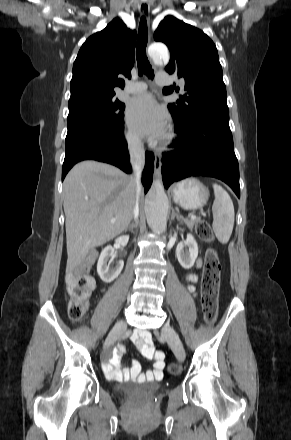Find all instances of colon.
<instances>
[{
    "instance_id": "1",
    "label": "colon",
    "mask_w": 291,
    "mask_h": 440,
    "mask_svg": "<svg viewBox=\"0 0 291 440\" xmlns=\"http://www.w3.org/2000/svg\"><path fill=\"white\" fill-rule=\"evenodd\" d=\"M196 235L204 242L213 241V233L209 224L199 220L195 226ZM220 262L217 251L209 247L205 254V264L201 281L202 310L206 324H212L217 314V302L220 286ZM94 289L93 280L82 271L71 274L67 283V295L69 297L68 312L73 321L81 319L88 310L90 294ZM160 355V352L156 353ZM170 371L176 370L170 365Z\"/></svg>"
}]
</instances>
